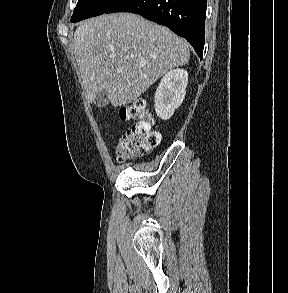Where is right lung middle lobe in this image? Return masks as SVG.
Instances as JSON below:
<instances>
[{
	"instance_id": "obj_1",
	"label": "right lung middle lobe",
	"mask_w": 288,
	"mask_h": 293,
	"mask_svg": "<svg viewBox=\"0 0 288 293\" xmlns=\"http://www.w3.org/2000/svg\"><path fill=\"white\" fill-rule=\"evenodd\" d=\"M119 0H78L71 18V22H78L86 18L105 13Z\"/></svg>"
}]
</instances>
